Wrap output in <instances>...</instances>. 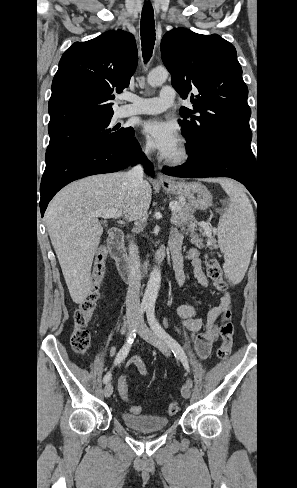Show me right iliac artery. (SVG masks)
<instances>
[{"label":"right iliac artery","instance_id":"1","mask_svg":"<svg viewBox=\"0 0 297 488\" xmlns=\"http://www.w3.org/2000/svg\"><path fill=\"white\" fill-rule=\"evenodd\" d=\"M146 308L145 307H141L140 310H139V320H142L143 318V314L145 312ZM137 325V324H136ZM135 336H136V328L133 329V331L130 333L126 343L123 345V347L120 349V351L118 352L115 360H114V366L118 365L119 363H121L128 355L129 351H130V348L132 346V343L135 339ZM111 378V372H108L104 378H103V382L104 383H107Z\"/></svg>","mask_w":297,"mask_h":488}]
</instances>
